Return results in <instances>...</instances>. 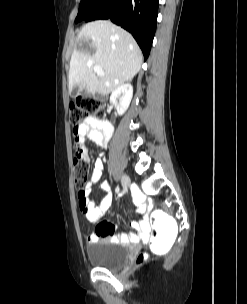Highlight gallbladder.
Instances as JSON below:
<instances>
[{
    "label": "gallbladder",
    "instance_id": "1",
    "mask_svg": "<svg viewBox=\"0 0 247 304\" xmlns=\"http://www.w3.org/2000/svg\"><path fill=\"white\" fill-rule=\"evenodd\" d=\"M82 87L80 85H75L71 90V95L73 97L79 95L82 92Z\"/></svg>",
    "mask_w": 247,
    "mask_h": 304
}]
</instances>
